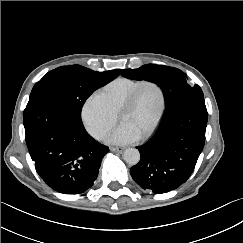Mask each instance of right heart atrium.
<instances>
[{"label":"right heart atrium","instance_id":"right-heart-atrium-1","mask_svg":"<svg viewBox=\"0 0 243 243\" xmlns=\"http://www.w3.org/2000/svg\"><path fill=\"white\" fill-rule=\"evenodd\" d=\"M81 118L86 130L98 140L106 138L117 121L116 114L98 92L91 94L84 102Z\"/></svg>","mask_w":243,"mask_h":243}]
</instances>
